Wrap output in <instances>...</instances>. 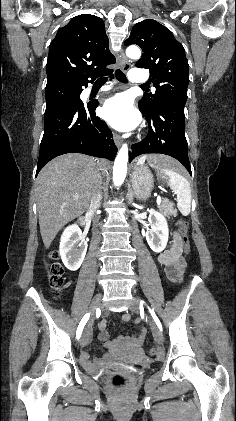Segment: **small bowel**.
I'll return each mask as SVG.
<instances>
[{"label":"small bowel","mask_w":236,"mask_h":421,"mask_svg":"<svg viewBox=\"0 0 236 421\" xmlns=\"http://www.w3.org/2000/svg\"><path fill=\"white\" fill-rule=\"evenodd\" d=\"M173 246L175 247V248H177L178 250H179V252L181 251V240H180V236H179V234L177 233V232H174L173 233ZM102 326H104L103 324H102ZM141 333L142 334H144L145 333V330L142 328L141 329ZM89 340V336L86 338V341H88ZM83 355H86V356H88L89 357V355L87 354V353H84ZM111 360V358L107 361V363L109 362Z\"/></svg>","instance_id":"obj_1"}]
</instances>
